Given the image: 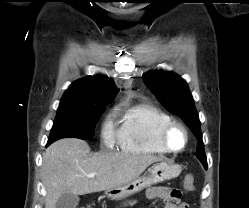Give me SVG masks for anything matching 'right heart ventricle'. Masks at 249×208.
Returning a JSON list of instances; mask_svg holds the SVG:
<instances>
[{
  "label": "right heart ventricle",
  "mask_w": 249,
  "mask_h": 208,
  "mask_svg": "<svg viewBox=\"0 0 249 208\" xmlns=\"http://www.w3.org/2000/svg\"><path fill=\"white\" fill-rule=\"evenodd\" d=\"M170 121L172 117L167 112L148 103L129 108L119 129L121 150L138 155L167 153L158 142V133Z\"/></svg>",
  "instance_id": "right-heart-ventricle-1"
}]
</instances>
